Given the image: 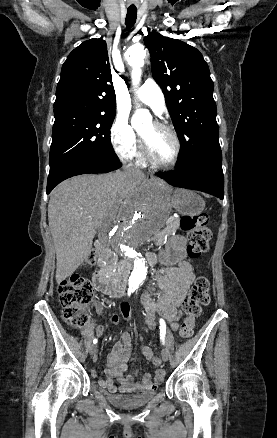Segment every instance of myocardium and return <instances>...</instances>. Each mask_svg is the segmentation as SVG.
I'll list each match as a JSON object with an SVG mask.
<instances>
[{"label":"myocardium","instance_id":"1","mask_svg":"<svg viewBox=\"0 0 277 438\" xmlns=\"http://www.w3.org/2000/svg\"><path fill=\"white\" fill-rule=\"evenodd\" d=\"M153 124L158 129H160V130L166 132L168 135H170L172 137V139L174 140V144H175L174 156L171 159V161L166 162V163L157 160L154 157V155L152 154L150 146H149L147 140L144 139L141 135H139L142 155H143V157L145 158V160L147 162H149L151 165H153L155 167H159V168H170V167H173L178 162L180 154H181V141H180V138H179L178 134L176 133V131L174 129H172L171 127H169L168 125H166V124H164V123H162L160 121H153Z\"/></svg>","mask_w":277,"mask_h":438}]
</instances>
